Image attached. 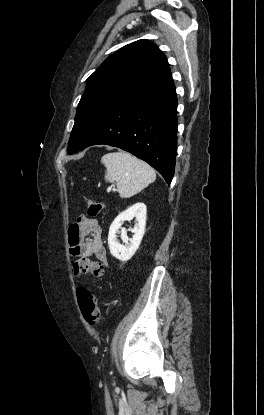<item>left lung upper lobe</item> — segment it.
<instances>
[{
    "mask_svg": "<svg viewBox=\"0 0 264 415\" xmlns=\"http://www.w3.org/2000/svg\"><path fill=\"white\" fill-rule=\"evenodd\" d=\"M170 74L165 55L146 39L130 43L110 55L87 79L68 153L78 151L99 120L115 105Z\"/></svg>",
    "mask_w": 264,
    "mask_h": 415,
    "instance_id": "1",
    "label": "left lung upper lobe"
}]
</instances>
